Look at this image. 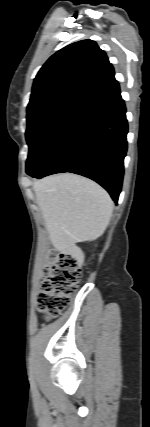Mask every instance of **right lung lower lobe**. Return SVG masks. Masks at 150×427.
I'll list each match as a JSON object with an SVG mask.
<instances>
[{"instance_id": "1", "label": "right lung lower lobe", "mask_w": 150, "mask_h": 427, "mask_svg": "<svg viewBox=\"0 0 150 427\" xmlns=\"http://www.w3.org/2000/svg\"><path fill=\"white\" fill-rule=\"evenodd\" d=\"M125 113L116 84L80 107L30 176L80 174L103 186L117 202L127 151Z\"/></svg>"}]
</instances>
